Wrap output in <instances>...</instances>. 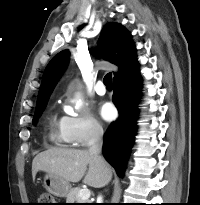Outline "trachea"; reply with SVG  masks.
Here are the masks:
<instances>
[{
    "label": "trachea",
    "instance_id": "obj_1",
    "mask_svg": "<svg viewBox=\"0 0 200 205\" xmlns=\"http://www.w3.org/2000/svg\"><path fill=\"white\" fill-rule=\"evenodd\" d=\"M103 82L105 84L106 87H113V84H112V74L111 72L110 73H107L103 79Z\"/></svg>",
    "mask_w": 200,
    "mask_h": 205
}]
</instances>
